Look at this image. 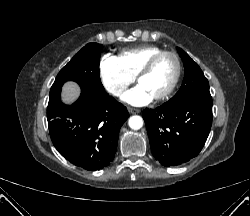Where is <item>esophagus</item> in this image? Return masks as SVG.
<instances>
[{"label":"esophagus","mask_w":250,"mask_h":216,"mask_svg":"<svg viewBox=\"0 0 250 216\" xmlns=\"http://www.w3.org/2000/svg\"><path fill=\"white\" fill-rule=\"evenodd\" d=\"M128 111H129V113H131V114H135V113H139V112H140L139 109L132 108V107H128Z\"/></svg>","instance_id":"1"}]
</instances>
